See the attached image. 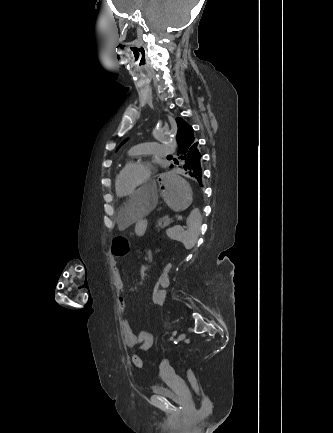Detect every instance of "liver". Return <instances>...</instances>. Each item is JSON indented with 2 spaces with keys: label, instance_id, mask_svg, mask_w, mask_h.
Here are the masks:
<instances>
[{
  "label": "liver",
  "instance_id": "6515ba94",
  "mask_svg": "<svg viewBox=\"0 0 333 433\" xmlns=\"http://www.w3.org/2000/svg\"><path fill=\"white\" fill-rule=\"evenodd\" d=\"M156 183H141V192H130V201H121L120 210L117 217L119 231H123L138 220H142L145 215L156 207L158 192Z\"/></svg>",
  "mask_w": 333,
  "mask_h": 433
}]
</instances>
